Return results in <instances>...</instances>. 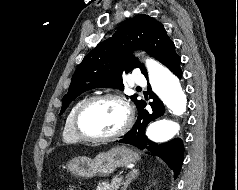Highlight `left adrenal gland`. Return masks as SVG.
<instances>
[{"label": "left adrenal gland", "instance_id": "a2214340", "mask_svg": "<svg viewBox=\"0 0 238 190\" xmlns=\"http://www.w3.org/2000/svg\"><path fill=\"white\" fill-rule=\"evenodd\" d=\"M139 175V171L136 169L131 170L127 175H126V180L123 182V188L122 190H126L128 186L131 184V182L136 179Z\"/></svg>", "mask_w": 238, "mask_h": 190}]
</instances>
